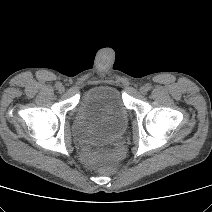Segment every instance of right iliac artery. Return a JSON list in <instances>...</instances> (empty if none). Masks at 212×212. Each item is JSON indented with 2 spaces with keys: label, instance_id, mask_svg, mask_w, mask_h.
Segmentation results:
<instances>
[{
  "label": "right iliac artery",
  "instance_id": "right-iliac-artery-1",
  "mask_svg": "<svg viewBox=\"0 0 212 212\" xmlns=\"http://www.w3.org/2000/svg\"><path fill=\"white\" fill-rule=\"evenodd\" d=\"M61 84L60 83H56V88H59V86H60Z\"/></svg>",
  "mask_w": 212,
  "mask_h": 212
}]
</instances>
